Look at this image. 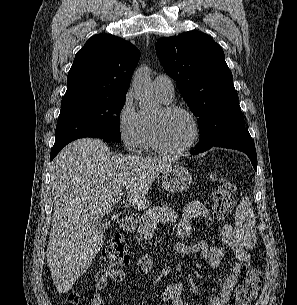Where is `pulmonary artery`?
<instances>
[{"label": "pulmonary artery", "mask_w": 297, "mask_h": 305, "mask_svg": "<svg viewBox=\"0 0 297 305\" xmlns=\"http://www.w3.org/2000/svg\"><path fill=\"white\" fill-rule=\"evenodd\" d=\"M153 88L166 101H171L174 97L175 90L172 79L165 74H160L155 77L153 80Z\"/></svg>", "instance_id": "pulmonary-artery-1"}]
</instances>
